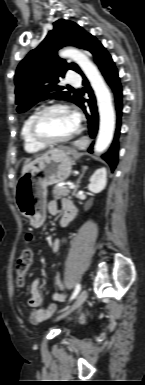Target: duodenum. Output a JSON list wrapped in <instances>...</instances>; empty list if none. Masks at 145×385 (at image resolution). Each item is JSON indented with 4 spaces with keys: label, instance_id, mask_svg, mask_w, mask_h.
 <instances>
[{
    "label": "duodenum",
    "instance_id": "duodenum-1",
    "mask_svg": "<svg viewBox=\"0 0 145 385\" xmlns=\"http://www.w3.org/2000/svg\"><path fill=\"white\" fill-rule=\"evenodd\" d=\"M72 219H73L72 211L67 210L60 221V226L66 227Z\"/></svg>",
    "mask_w": 145,
    "mask_h": 385
}]
</instances>
